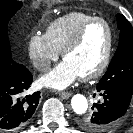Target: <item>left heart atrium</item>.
I'll return each mask as SVG.
<instances>
[{
  "mask_svg": "<svg viewBox=\"0 0 133 133\" xmlns=\"http://www.w3.org/2000/svg\"><path fill=\"white\" fill-rule=\"evenodd\" d=\"M78 77L79 75L75 68L64 60L47 74L43 75L39 79V84L54 90H61L68 87Z\"/></svg>",
  "mask_w": 133,
  "mask_h": 133,
  "instance_id": "left-heart-atrium-1",
  "label": "left heart atrium"
}]
</instances>
